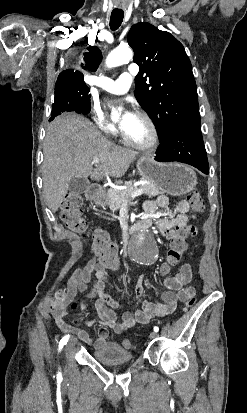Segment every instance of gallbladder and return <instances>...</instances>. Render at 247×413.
<instances>
[{"label":"gallbladder","instance_id":"bac80fb5","mask_svg":"<svg viewBox=\"0 0 247 413\" xmlns=\"http://www.w3.org/2000/svg\"><path fill=\"white\" fill-rule=\"evenodd\" d=\"M90 182L88 178H84V176H74L71 178L69 182V190L71 196H78V194H82L85 192L86 188H88Z\"/></svg>","mask_w":247,"mask_h":413}]
</instances>
